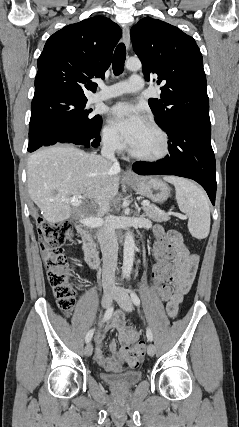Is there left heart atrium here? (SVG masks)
Returning a JSON list of instances; mask_svg holds the SVG:
<instances>
[{
    "label": "left heart atrium",
    "instance_id": "obj_1",
    "mask_svg": "<svg viewBox=\"0 0 239 427\" xmlns=\"http://www.w3.org/2000/svg\"><path fill=\"white\" fill-rule=\"evenodd\" d=\"M111 115L113 125L129 145L146 123V118L140 109L125 102L113 106Z\"/></svg>",
    "mask_w": 239,
    "mask_h": 427
}]
</instances>
